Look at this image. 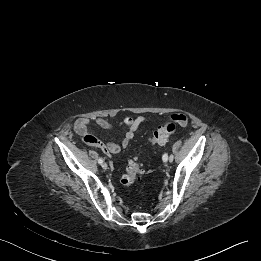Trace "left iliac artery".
I'll return each instance as SVG.
<instances>
[{"label":"left iliac artery","instance_id":"44dca946","mask_svg":"<svg viewBox=\"0 0 261 261\" xmlns=\"http://www.w3.org/2000/svg\"><path fill=\"white\" fill-rule=\"evenodd\" d=\"M174 156L170 155L169 160L173 161ZM163 161L166 162L168 160V155L165 153L162 157Z\"/></svg>","mask_w":261,"mask_h":261}]
</instances>
